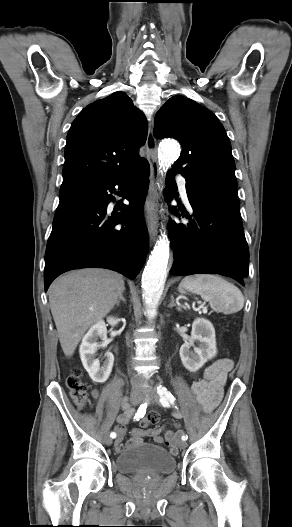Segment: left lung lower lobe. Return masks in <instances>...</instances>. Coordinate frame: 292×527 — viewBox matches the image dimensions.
<instances>
[{"mask_svg": "<svg viewBox=\"0 0 292 527\" xmlns=\"http://www.w3.org/2000/svg\"><path fill=\"white\" fill-rule=\"evenodd\" d=\"M173 172L166 178L165 198L172 201L176 190ZM194 213L180 210L189 223L169 220L174 250L173 275L220 274L242 284L248 275L249 251L245 239L238 197L186 188ZM170 212L180 216L175 206Z\"/></svg>", "mask_w": 292, "mask_h": 527, "instance_id": "obj_1", "label": "left lung lower lobe"}]
</instances>
